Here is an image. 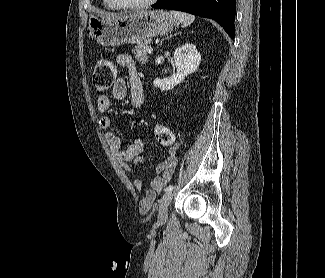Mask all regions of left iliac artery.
Instances as JSON below:
<instances>
[{
  "mask_svg": "<svg viewBox=\"0 0 325 278\" xmlns=\"http://www.w3.org/2000/svg\"><path fill=\"white\" fill-rule=\"evenodd\" d=\"M174 189V186L173 185H169L168 187H166L165 191L166 192H170Z\"/></svg>",
  "mask_w": 325,
  "mask_h": 278,
  "instance_id": "44dca946",
  "label": "left iliac artery"
}]
</instances>
